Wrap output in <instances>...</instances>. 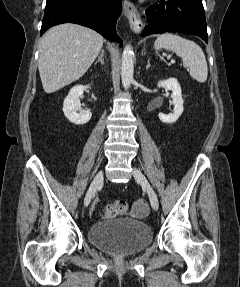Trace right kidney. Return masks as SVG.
Listing matches in <instances>:
<instances>
[{
	"instance_id": "right-kidney-1",
	"label": "right kidney",
	"mask_w": 240,
	"mask_h": 287,
	"mask_svg": "<svg viewBox=\"0 0 240 287\" xmlns=\"http://www.w3.org/2000/svg\"><path fill=\"white\" fill-rule=\"evenodd\" d=\"M87 88H89V85H76L69 91V94L64 99V115L73 124H86L92 117V113L89 109L82 110L80 107V97Z\"/></svg>"
}]
</instances>
